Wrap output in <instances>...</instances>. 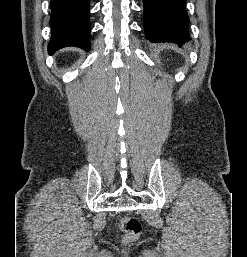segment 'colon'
Returning a JSON list of instances; mask_svg holds the SVG:
<instances>
[{"label":"colon","mask_w":247,"mask_h":257,"mask_svg":"<svg viewBox=\"0 0 247 257\" xmlns=\"http://www.w3.org/2000/svg\"><path fill=\"white\" fill-rule=\"evenodd\" d=\"M120 227L123 232V241L125 243L136 241L142 232V225L139 219L129 215L122 217Z\"/></svg>","instance_id":"1"}]
</instances>
